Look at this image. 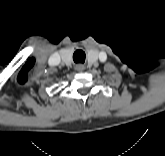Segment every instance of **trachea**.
Instances as JSON below:
<instances>
[{
  "mask_svg": "<svg viewBox=\"0 0 165 156\" xmlns=\"http://www.w3.org/2000/svg\"><path fill=\"white\" fill-rule=\"evenodd\" d=\"M73 60L75 63L85 62V52L82 50H76L73 54Z\"/></svg>",
  "mask_w": 165,
  "mask_h": 156,
  "instance_id": "1",
  "label": "trachea"
}]
</instances>
